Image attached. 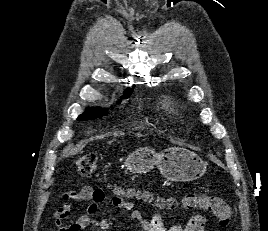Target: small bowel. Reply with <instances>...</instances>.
<instances>
[{
    "label": "small bowel",
    "mask_w": 268,
    "mask_h": 231,
    "mask_svg": "<svg viewBox=\"0 0 268 231\" xmlns=\"http://www.w3.org/2000/svg\"><path fill=\"white\" fill-rule=\"evenodd\" d=\"M73 200L89 202L86 213L80 215L74 222L68 223L72 213V204L64 203L53 215V222L58 231H86L90 228H99L102 231H111L107 219L98 217L97 213L107 199L106 191L102 187H83L79 194L72 197ZM119 209L130 211L131 218L137 222L144 231H205L207 220L202 215L191 217L186 224H176L166 228L161 212L156 211L150 219L144 217L142 212L134 208L133 203L125 200L114 202Z\"/></svg>",
    "instance_id": "1"
}]
</instances>
